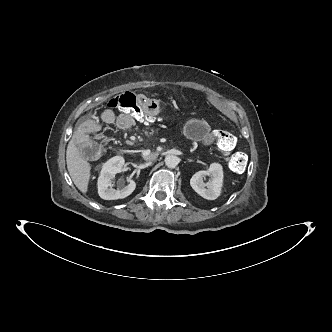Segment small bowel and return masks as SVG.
Segmentation results:
<instances>
[{
	"label": "small bowel",
	"instance_id": "c3829d8e",
	"mask_svg": "<svg viewBox=\"0 0 332 332\" xmlns=\"http://www.w3.org/2000/svg\"><path fill=\"white\" fill-rule=\"evenodd\" d=\"M137 104L145 112L154 116H161L163 114V107L159 102H156L153 98H148L146 95H139L137 97ZM102 120L106 123L115 121L116 125L123 129H131L135 125V119L128 114H120L115 116L113 112L106 111L102 115Z\"/></svg>",
	"mask_w": 332,
	"mask_h": 332
}]
</instances>
